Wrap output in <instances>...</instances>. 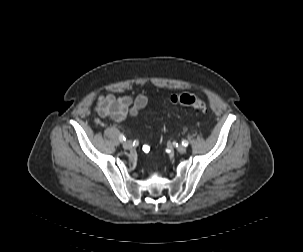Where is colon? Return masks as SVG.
Listing matches in <instances>:
<instances>
[{
    "label": "colon",
    "mask_w": 303,
    "mask_h": 252,
    "mask_svg": "<svg viewBox=\"0 0 303 252\" xmlns=\"http://www.w3.org/2000/svg\"><path fill=\"white\" fill-rule=\"evenodd\" d=\"M169 101L173 104L191 107L197 113H205L207 111V104L195 94H174L169 98Z\"/></svg>",
    "instance_id": "5ec220e1"
}]
</instances>
